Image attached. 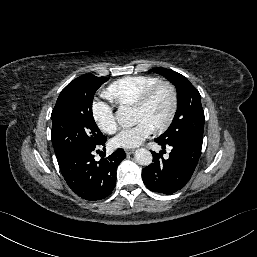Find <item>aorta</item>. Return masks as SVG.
I'll use <instances>...</instances> for the list:
<instances>
[{"instance_id": "1", "label": "aorta", "mask_w": 257, "mask_h": 257, "mask_svg": "<svg viewBox=\"0 0 257 257\" xmlns=\"http://www.w3.org/2000/svg\"><path fill=\"white\" fill-rule=\"evenodd\" d=\"M131 116L132 111L127 107L119 108L116 113L117 121L123 127H129L133 124ZM152 158L151 152L145 148H140L135 151V160L140 165H150L152 163Z\"/></svg>"}]
</instances>
